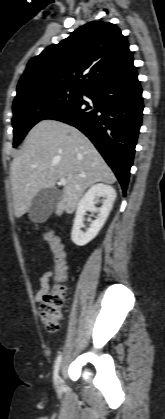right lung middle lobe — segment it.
Wrapping results in <instances>:
<instances>
[{
  "instance_id": "obj_1",
  "label": "right lung middle lobe",
  "mask_w": 165,
  "mask_h": 419,
  "mask_svg": "<svg viewBox=\"0 0 165 419\" xmlns=\"http://www.w3.org/2000/svg\"><path fill=\"white\" fill-rule=\"evenodd\" d=\"M85 92L76 88H52L15 100L12 120L13 146L16 147L36 123L52 113L76 104Z\"/></svg>"
}]
</instances>
